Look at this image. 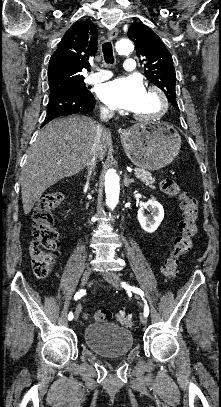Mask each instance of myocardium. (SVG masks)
I'll use <instances>...</instances> for the list:
<instances>
[{
    "label": "myocardium",
    "instance_id": "myocardium-1",
    "mask_svg": "<svg viewBox=\"0 0 221 407\" xmlns=\"http://www.w3.org/2000/svg\"><path fill=\"white\" fill-rule=\"evenodd\" d=\"M146 91L154 94L159 102V109L156 113L154 114H137L134 113L133 117L137 120L140 121H154L157 120L159 118H161L162 116L165 115V113L168 110V98L167 95L165 94V92L158 86L156 85H149L146 88Z\"/></svg>",
    "mask_w": 221,
    "mask_h": 407
}]
</instances>
